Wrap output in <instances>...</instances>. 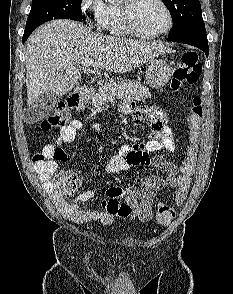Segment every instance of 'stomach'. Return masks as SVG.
Listing matches in <instances>:
<instances>
[{"label":"stomach","instance_id":"stomach-1","mask_svg":"<svg viewBox=\"0 0 233 294\" xmlns=\"http://www.w3.org/2000/svg\"><path fill=\"white\" fill-rule=\"evenodd\" d=\"M173 68L161 59H151L147 64L146 81L154 88L160 89L170 80Z\"/></svg>","mask_w":233,"mask_h":294}]
</instances>
